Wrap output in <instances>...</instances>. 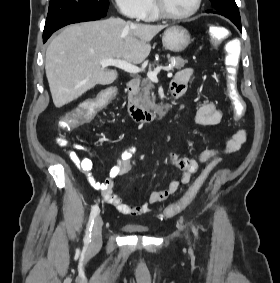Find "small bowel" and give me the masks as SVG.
<instances>
[{"instance_id":"c3829d8e","label":"small bowel","mask_w":280,"mask_h":283,"mask_svg":"<svg viewBox=\"0 0 280 283\" xmlns=\"http://www.w3.org/2000/svg\"><path fill=\"white\" fill-rule=\"evenodd\" d=\"M192 74L193 71L190 68L182 69L176 74L172 83L179 95H182L186 91ZM222 119V111L211 101L203 103L195 114L196 123L203 126H215ZM245 140L246 130L244 128H238L221 149H205L198 152L194 158L180 157L172 153L170 155V162L182 171L180 179L172 180L164 190L152 191L148 201L139 205H131L123 202L114 192V179L128 173L136 164L133 147H127L120 153L116 166L110 170L108 178L101 183L96 182L92 177V169L94 167L92 158L80 156L74 151L70 152L68 156L77 168L89 178L93 186L100 190L107 204L112 205L121 214L137 217L149 213L152 205L165 201L176 193L181 185L189 184L192 177L198 173L200 163L216 161L227 154L238 151Z\"/></svg>"}]
</instances>
